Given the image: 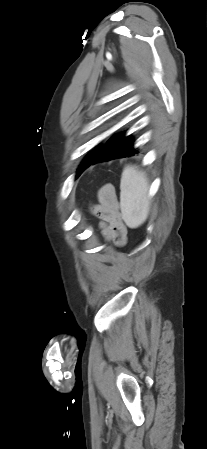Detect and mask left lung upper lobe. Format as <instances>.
I'll list each match as a JSON object with an SVG mask.
<instances>
[{
    "label": "left lung upper lobe",
    "mask_w": 207,
    "mask_h": 449,
    "mask_svg": "<svg viewBox=\"0 0 207 449\" xmlns=\"http://www.w3.org/2000/svg\"><path fill=\"white\" fill-rule=\"evenodd\" d=\"M102 146L98 147L97 149H95L91 154H89L88 157H86L84 159V161L81 163L80 167L78 168V174L77 176H79L87 167L88 163L97 155V153L99 152V150L101 149Z\"/></svg>",
    "instance_id": "1"
}]
</instances>
